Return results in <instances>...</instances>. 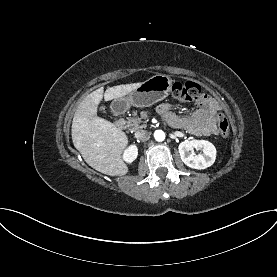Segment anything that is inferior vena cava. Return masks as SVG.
<instances>
[{"mask_svg":"<svg viewBox=\"0 0 277 277\" xmlns=\"http://www.w3.org/2000/svg\"><path fill=\"white\" fill-rule=\"evenodd\" d=\"M135 137L140 141H147L150 139V133L146 130H140L135 133Z\"/></svg>","mask_w":277,"mask_h":277,"instance_id":"1","label":"inferior vena cava"}]
</instances>
